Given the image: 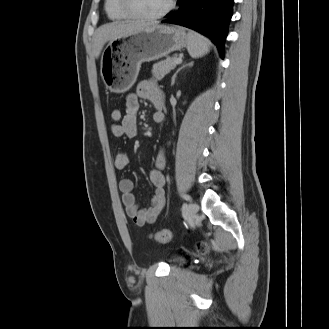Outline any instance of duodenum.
Masks as SVG:
<instances>
[{
	"label": "duodenum",
	"mask_w": 329,
	"mask_h": 329,
	"mask_svg": "<svg viewBox=\"0 0 329 329\" xmlns=\"http://www.w3.org/2000/svg\"><path fill=\"white\" fill-rule=\"evenodd\" d=\"M155 121L157 123H162L164 121V114L162 112H158L155 116Z\"/></svg>",
	"instance_id": "duodenum-1"
}]
</instances>
